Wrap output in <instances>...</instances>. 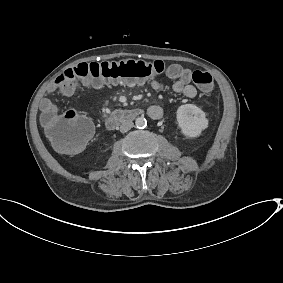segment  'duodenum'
I'll return each instance as SVG.
<instances>
[{
	"label": "duodenum",
	"mask_w": 283,
	"mask_h": 283,
	"mask_svg": "<svg viewBox=\"0 0 283 283\" xmlns=\"http://www.w3.org/2000/svg\"><path fill=\"white\" fill-rule=\"evenodd\" d=\"M143 114L140 108H132L128 110H115L106 119L105 125L109 130H115L121 124L134 120Z\"/></svg>",
	"instance_id": "1"
}]
</instances>
